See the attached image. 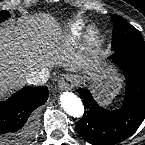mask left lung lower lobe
<instances>
[{
    "label": "left lung lower lobe",
    "mask_w": 145,
    "mask_h": 145,
    "mask_svg": "<svg viewBox=\"0 0 145 145\" xmlns=\"http://www.w3.org/2000/svg\"><path fill=\"white\" fill-rule=\"evenodd\" d=\"M115 58L126 76V94L121 109L107 111L90 92L79 89L85 113L76 124L79 135L91 144L111 145L131 136L145 118V53L116 49Z\"/></svg>",
    "instance_id": "obj_1"
}]
</instances>
